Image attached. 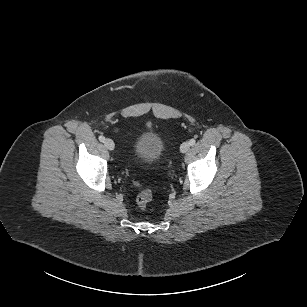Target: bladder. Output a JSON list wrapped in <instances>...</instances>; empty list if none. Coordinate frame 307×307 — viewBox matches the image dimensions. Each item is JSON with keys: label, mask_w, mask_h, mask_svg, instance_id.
I'll use <instances>...</instances> for the list:
<instances>
[{"label": "bladder", "mask_w": 307, "mask_h": 307, "mask_svg": "<svg viewBox=\"0 0 307 307\" xmlns=\"http://www.w3.org/2000/svg\"><path fill=\"white\" fill-rule=\"evenodd\" d=\"M165 148L162 137L152 130L141 132L132 145L134 155L149 164L158 163L165 153Z\"/></svg>", "instance_id": "1"}]
</instances>
